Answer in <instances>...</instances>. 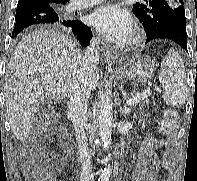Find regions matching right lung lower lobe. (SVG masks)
I'll use <instances>...</instances> for the list:
<instances>
[{"label":"right lung lower lobe","instance_id":"obj_1","mask_svg":"<svg viewBox=\"0 0 197 181\" xmlns=\"http://www.w3.org/2000/svg\"><path fill=\"white\" fill-rule=\"evenodd\" d=\"M13 37L31 25H54L69 29L82 46H87L92 38L91 29L78 20H65L56 9L41 0H19L15 15Z\"/></svg>","mask_w":197,"mask_h":181}]
</instances>
